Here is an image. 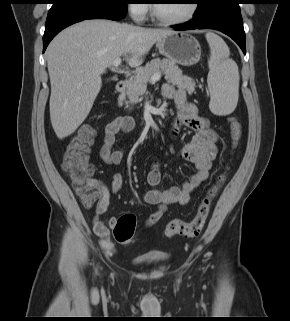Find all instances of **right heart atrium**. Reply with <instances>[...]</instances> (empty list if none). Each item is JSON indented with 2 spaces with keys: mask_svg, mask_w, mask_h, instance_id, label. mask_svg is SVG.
<instances>
[{
  "mask_svg": "<svg viewBox=\"0 0 290 321\" xmlns=\"http://www.w3.org/2000/svg\"><path fill=\"white\" fill-rule=\"evenodd\" d=\"M128 12L137 21L145 19L148 13L146 0H131L128 4Z\"/></svg>",
  "mask_w": 290,
  "mask_h": 321,
  "instance_id": "1",
  "label": "right heart atrium"
}]
</instances>
